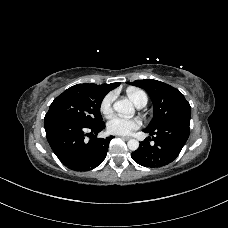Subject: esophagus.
Returning a JSON list of instances; mask_svg holds the SVG:
<instances>
[{"label": "esophagus", "instance_id": "obj_1", "mask_svg": "<svg viewBox=\"0 0 228 228\" xmlns=\"http://www.w3.org/2000/svg\"><path fill=\"white\" fill-rule=\"evenodd\" d=\"M120 138H122V139H124V140H129V139H131V137H129V136H120Z\"/></svg>", "mask_w": 228, "mask_h": 228}]
</instances>
